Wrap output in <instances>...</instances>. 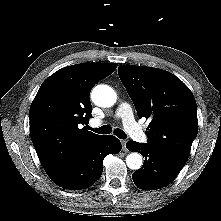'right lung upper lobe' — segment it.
I'll return each mask as SVG.
<instances>
[{
	"label": "right lung upper lobe",
	"instance_id": "obj_1",
	"mask_svg": "<svg viewBox=\"0 0 221 221\" xmlns=\"http://www.w3.org/2000/svg\"><path fill=\"white\" fill-rule=\"evenodd\" d=\"M116 63H81L47 78L31 104L30 135L47 174L56 171L101 136L81 126L88 122L90 91L112 74Z\"/></svg>",
	"mask_w": 221,
	"mask_h": 221
}]
</instances>
